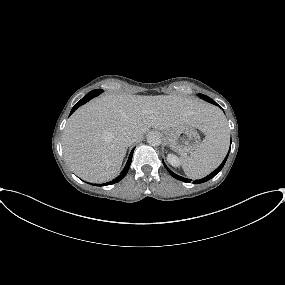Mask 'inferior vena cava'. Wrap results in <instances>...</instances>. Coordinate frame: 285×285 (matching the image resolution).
<instances>
[{"instance_id":"obj_1","label":"inferior vena cava","mask_w":285,"mask_h":285,"mask_svg":"<svg viewBox=\"0 0 285 285\" xmlns=\"http://www.w3.org/2000/svg\"><path fill=\"white\" fill-rule=\"evenodd\" d=\"M122 141L126 146H130L137 141V136L132 133H126L122 136Z\"/></svg>"}]
</instances>
